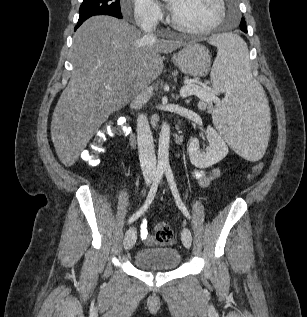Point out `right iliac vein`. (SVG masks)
<instances>
[{
    "mask_svg": "<svg viewBox=\"0 0 307 317\" xmlns=\"http://www.w3.org/2000/svg\"><path fill=\"white\" fill-rule=\"evenodd\" d=\"M153 181V177L152 176H147L146 177V184L150 185ZM136 242V229L134 227H130L124 236V248L126 250L131 249L134 244Z\"/></svg>",
    "mask_w": 307,
    "mask_h": 317,
    "instance_id": "obj_1",
    "label": "right iliac vein"
}]
</instances>
